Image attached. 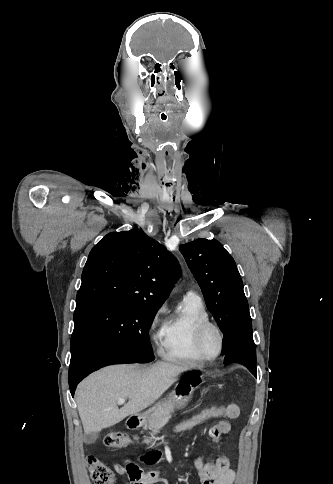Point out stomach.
Instances as JSON below:
<instances>
[{"label": "stomach", "instance_id": "1", "mask_svg": "<svg viewBox=\"0 0 333 484\" xmlns=\"http://www.w3.org/2000/svg\"><path fill=\"white\" fill-rule=\"evenodd\" d=\"M200 382V378H188L180 381L176 384L173 392L167 397L163 398L161 401L157 402L152 410L156 412L166 407L171 401L173 402L174 407L181 408L185 406L191 398L194 390L199 386Z\"/></svg>", "mask_w": 333, "mask_h": 484}]
</instances>
